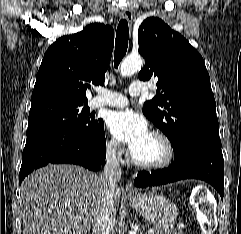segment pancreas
<instances>
[{
	"label": "pancreas",
	"instance_id": "cf45deb5",
	"mask_svg": "<svg viewBox=\"0 0 241 234\" xmlns=\"http://www.w3.org/2000/svg\"><path fill=\"white\" fill-rule=\"evenodd\" d=\"M152 234H183V232L182 231L176 232L174 230H168V229L153 228Z\"/></svg>",
	"mask_w": 241,
	"mask_h": 234
}]
</instances>
